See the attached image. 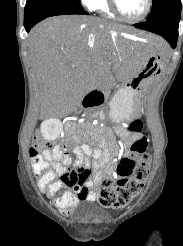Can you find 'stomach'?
<instances>
[{"mask_svg": "<svg viewBox=\"0 0 183 246\" xmlns=\"http://www.w3.org/2000/svg\"><path fill=\"white\" fill-rule=\"evenodd\" d=\"M130 43L144 57V62L140 71L126 81L109 101V117L114 123L128 121L140 113L142 97L148 85L163 68V61L158 58L151 42Z\"/></svg>", "mask_w": 183, "mask_h": 246, "instance_id": "1", "label": "stomach"}]
</instances>
